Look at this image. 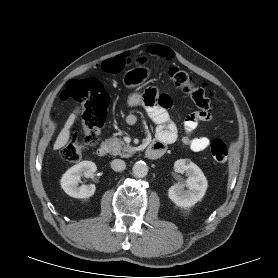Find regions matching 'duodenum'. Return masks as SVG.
<instances>
[{"instance_id": "1", "label": "duodenum", "mask_w": 278, "mask_h": 278, "mask_svg": "<svg viewBox=\"0 0 278 278\" xmlns=\"http://www.w3.org/2000/svg\"><path fill=\"white\" fill-rule=\"evenodd\" d=\"M108 153H109V148L105 144L99 146L96 150V154L99 157H105L108 155ZM164 153H165V146L158 142H152L151 144L148 145V147L145 150L146 157L151 160L159 159L160 157L163 156Z\"/></svg>"}]
</instances>
